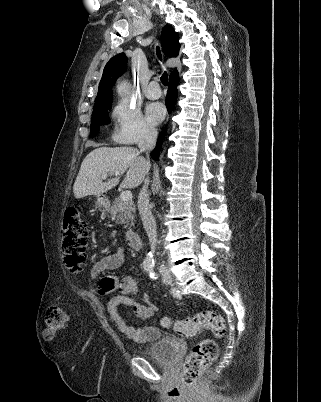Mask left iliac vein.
<instances>
[{
	"label": "left iliac vein",
	"mask_w": 321,
	"mask_h": 402,
	"mask_svg": "<svg viewBox=\"0 0 321 402\" xmlns=\"http://www.w3.org/2000/svg\"><path fill=\"white\" fill-rule=\"evenodd\" d=\"M161 274H162L163 282H164L165 284L171 283L172 277H171L170 271H169L168 269L163 268V269L161 270Z\"/></svg>",
	"instance_id": "4c4485c4"
}]
</instances>
